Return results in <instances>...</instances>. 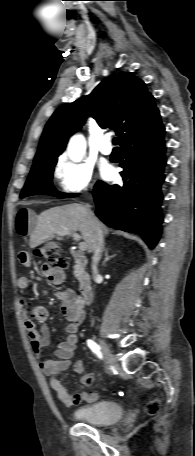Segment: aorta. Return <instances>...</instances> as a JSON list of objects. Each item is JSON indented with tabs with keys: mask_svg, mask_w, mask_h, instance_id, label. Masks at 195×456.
I'll return each instance as SVG.
<instances>
[{
	"mask_svg": "<svg viewBox=\"0 0 195 456\" xmlns=\"http://www.w3.org/2000/svg\"><path fill=\"white\" fill-rule=\"evenodd\" d=\"M86 150V140L83 135H74L68 144V156L74 162L81 161Z\"/></svg>",
	"mask_w": 195,
	"mask_h": 456,
	"instance_id": "1",
	"label": "aorta"
}]
</instances>
